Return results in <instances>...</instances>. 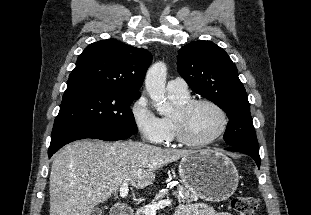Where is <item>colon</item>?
Masks as SVG:
<instances>
[{
	"label": "colon",
	"instance_id": "1",
	"mask_svg": "<svg viewBox=\"0 0 311 215\" xmlns=\"http://www.w3.org/2000/svg\"><path fill=\"white\" fill-rule=\"evenodd\" d=\"M231 207L238 215H254L258 200L255 197L238 196L231 201Z\"/></svg>",
	"mask_w": 311,
	"mask_h": 215
}]
</instances>
